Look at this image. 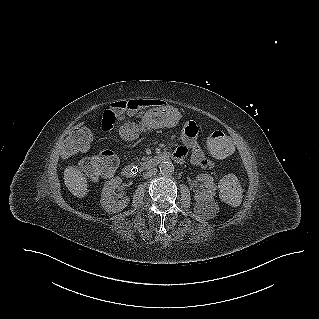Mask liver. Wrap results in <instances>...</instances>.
<instances>
[{
  "label": "liver",
  "instance_id": "liver-1",
  "mask_svg": "<svg viewBox=\"0 0 319 319\" xmlns=\"http://www.w3.org/2000/svg\"><path fill=\"white\" fill-rule=\"evenodd\" d=\"M64 183L68 190L78 198H83L88 194L87 178L75 166H68L64 170Z\"/></svg>",
  "mask_w": 319,
  "mask_h": 319
}]
</instances>
